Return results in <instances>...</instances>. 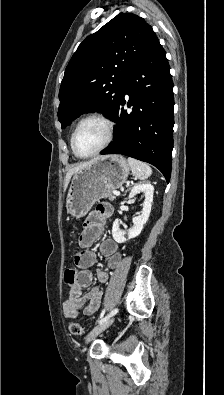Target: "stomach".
Listing matches in <instances>:
<instances>
[{
    "label": "stomach",
    "mask_w": 224,
    "mask_h": 395,
    "mask_svg": "<svg viewBox=\"0 0 224 395\" xmlns=\"http://www.w3.org/2000/svg\"><path fill=\"white\" fill-rule=\"evenodd\" d=\"M130 173L121 155L98 157L91 165L73 174L66 199L67 213L74 218L85 216L93 204L120 188Z\"/></svg>",
    "instance_id": "1"
}]
</instances>
